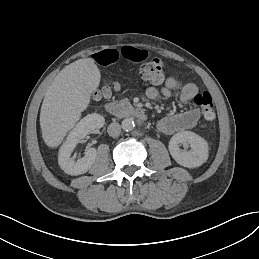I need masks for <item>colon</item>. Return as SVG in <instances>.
<instances>
[{
    "instance_id": "1",
    "label": "colon",
    "mask_w": 259,
    "mask_h": 259,
    "mask_svg": "<svg viewBox=\"0 0 259 259\" xmlns=\"http://www.w3.org/2000/svg\"><path fill=\"white\" fill-rule=\"evenodd\" d=\"M140 77L151 84L157 85L164 80L163 62L159 58L151 59L144 63L139 70ZM109 88L99 90L98 96H106L110 93ZM194 102L202 108L203 115L206 121L212 122L215 119L214 104L211 95L208 92H201L196 94Z\"/></svg>"
}]
</instances>
